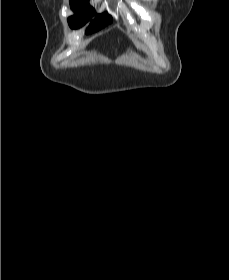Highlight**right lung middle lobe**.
Instances as JSON below:
<instances>
[{"label": "right lung middle lobe", "instance_id": "1", "mask_svg": "<svg viewBox=\"0 0 229 280\" xmlns=\"http://www.w3.org/2000/svg\"><path fill=\"white\" fill-rule=\"evenodd\" d=\"M71 9L76 12V15L68 18V23L71 28H79L83 26L92 15L95 14V10L89 6L88 0H70ZM112 22V17L107 13L98 15L97 18L91 22L86 33L90 34L95 32L108 23Z\"/></svg>", "mask_w": 229, "mask_h": 280}]
</instances>
